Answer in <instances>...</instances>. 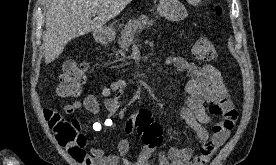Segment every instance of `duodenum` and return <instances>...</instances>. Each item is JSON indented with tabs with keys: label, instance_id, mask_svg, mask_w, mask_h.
Returning <instances> with one entry per match:
<instances>
[{
	"label": "duodenum",
	"instance_id": "duodenum-1",
	"mask_svg": "<svg viewBox=\"0 0 276 165\" xmlns=\"http://www.w3.org/2000/svg\"><path fill=\"white\" fill-rule=\"evenodd\" d=\"M97 39L101 44H107L110 42L111 37L106 33H99Z\"/></svg>",
	"mask_w": 276,
	"mask_h": 165
}]
</instances>
